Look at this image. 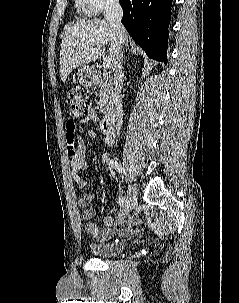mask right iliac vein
<instances>
[{"instance_id": "63e3f726", "label": "right iliac vein", "mask_w": 239, "mask_h": 303, "mask_svg": "<svg viewBox=\"0 0 239 303\" xmlns=\"http://www.w3.org/2000/svg\"><path fill=\"white\" fill-rule=\"evenodd\" d=\"M137 203V197H136V191L133 185H129L127 196L125 199V202L123 204V207L121 209L120 215H128L132 209L136 206Z\"/></svg>"}]
</instances>
